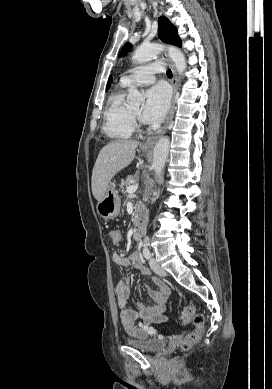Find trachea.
Wrapping results in <instances>:
<instances>
[{
    "label": "trachea",
    "instance_id": "obj_1",
    "mask_svg": "<svg viewBox=\"0 0 272 389\" xmlns=\"http://www.w3.org/2000/svg\"><path fill=\"white\" fill-rule=\"evenodd\" d=\"M166 74H167L168 77H172V71L170 69H168L166 71Z\"/></svg>",
    "mask_w": 272,
    "mask_h": 389
}]
</instances>
